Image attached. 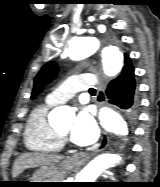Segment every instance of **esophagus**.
<instances>
[{
  "instance_id": "34e87169",
  "label": "esophagus",
  "mask_w": 160,
  "mask_h": 187,
  "mask_svg": "<svg viewBox=\"0 0 160 187\" xmlns=\"http://www.w3.org/2000/svg\"><path fill=\"white\" fill-rule=\"evenodd\" d=\"M108 145L107 137H102L100 143L91 149V152H84L72 156V161L77 164H85L96 153L104 150Z\"/></svg>"
}]
</instances>
